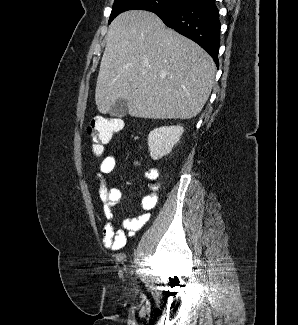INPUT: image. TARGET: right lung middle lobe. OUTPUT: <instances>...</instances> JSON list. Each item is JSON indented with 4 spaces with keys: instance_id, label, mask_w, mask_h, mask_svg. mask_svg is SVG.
<instances>
[{
    "instance_id": "1",
    "label": "right lung middle lobe",
    "mask_w": 298,
    "mask_h": 325,
    "mask_svg": "<svg viewBox=\"0 0 298 325\" xmlns=\"http://www.w3.org/2000/svg\"><path fill=\"white\" fill-rule=\"evenodd\" d=\"M192 0H115L109 23L120 13L128 10L173 11L189 4Z\"/></svg>"
}]
</instances>
